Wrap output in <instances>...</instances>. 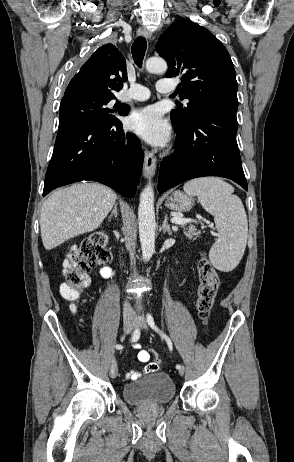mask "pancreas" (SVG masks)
Returning a JSON list of instances; mask_svg holds the SVG:
<instances>
[{
  "label": "pancreas",
  "mask_w": 294,
  "mask_h": 462,
  "mask_svg": "<svg viewBox=\"0 0 294 462\" xmlns=\"http://www.w3.org/2000/svg\"><path fill=\"white\" fill-rule=\"evenodd\" d=\"M184 234L188 239L194 240L199 233L197 232L195 226L190 225L188 228L184 229Z\"/></svg>",
  "instance_id": "1"
}]
</instances>
